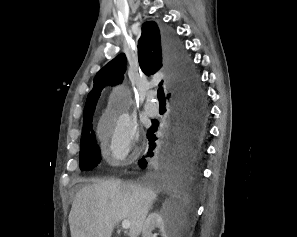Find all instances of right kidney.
Returning <instances> with one entry per match:
<instances>
[{"label":"right kidney","mask_w":297,"mask_h":237,"mask_svg":"<svg viewBox=\"0 0 297 237\" xmlns=\"http://www.w3.org/2000/svg\"><path fill=\"white\" fill-rule=\"evenodd\" d=\"M155 228H159L162 237H169L165 221L159 212L149 214L143 224L142 237H157V234L152 233Z\"/></svg>","instance_id":"1"}]
</instances>
